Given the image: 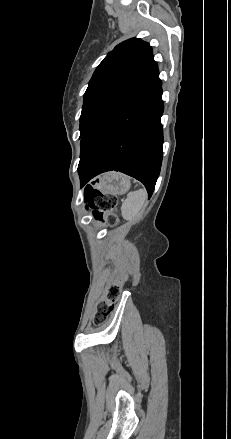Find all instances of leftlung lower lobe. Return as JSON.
Returning a JSON list of instances; mask_svg holds the SVG:
<instances>
[{"mask_svg":"<svg viewBox=\"0 0 231 439\" xmlns=\"http://www.w3.org/2000/svg\"><path fill=\"white\" fill-rule=\"evenodd\" d=\"M163 109L157 69L81 139V185L100 173L115 170L141 181L150 197L162 163Z\"/></svg>","mask_w":231,"mask_h":439,"instance_id":"left-lung-lower-lobe-1","label":"left lung lower lobe"}]
</instances>
